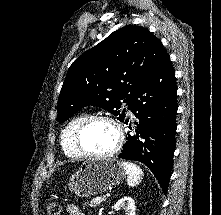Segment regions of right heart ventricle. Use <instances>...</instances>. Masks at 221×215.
<instances>
[{
  "instance_id": "e07e8e85",
  "label": "right heart ventricle",
  "mask_w": 221,
  "mask_h": 215,
  "mask_svg": "<svg viewBox=\"0 0 221 215\" xmlns=\"http://www.w3.org/2000/svg\"><path fill=\"white\" fill-rule=\"evenodd\" d=\"M87 117V114L77 115L64 127L61 134V146L66 156L71 158H78L82 156L75 145V133Z\"/></svg>"
}]
</instances>
